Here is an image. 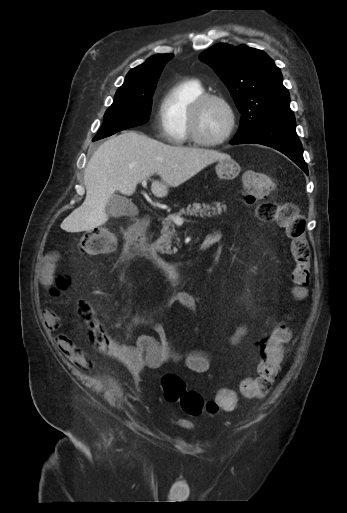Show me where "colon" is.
Here are the masks:
<instances>
[{"instance_id": "1", "label": "colon", "mask_w": 347, "mask_h": 513, "mask_svg": "<svg viewBox=\"0 0 347 513\" xmlns=\"http://www.w3.org/2000/svg\"><path fill=\"white\" fill-rule=\"evenodd\" d=\"M244 199L248 204L257 205L256 215L264 221L275 222L283 228L290 240V251L294 260L291 271L293 291L297 297L306 294L310 283L311 252L305 233V220L295 208L288 204L274 205L265 202V192L274 188L270 175L248 172L243 178ZM116 243L114 234L106 228L98 227L85 232L81 239V248L87 254H102L110 251ZM68 279L62 274L55 276L49 291L58 295L68 287ZM77 314L89 328L91 341L98 347L113 351L117 345L111 343L104 332L102 324L97 320L95 305L91 300H80L76 305ZM291 338L290 329L284 324L276 325L269 340L262 342V359L256 365V377L246 378L241 383V393L248 398H262L271 389L276 380L280 362L287 357V343ZM164 397L168 402L179 403L182 410L189 415L198 416L202 413L217 414L219 411H232L237 406L235 393L228 389H220L213 400L205 401L197 392L188 390L184 379L174 373H167L161 381Z\"/></svg>"}]
</instances>
